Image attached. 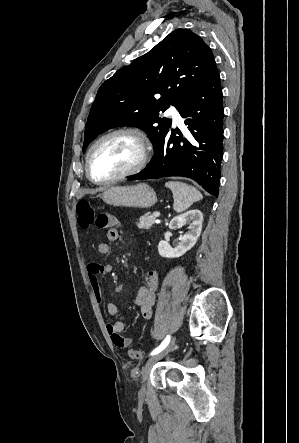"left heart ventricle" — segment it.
Listing matches in <instances>:
<instances>
[{"label":"left heart ventricle","instance_id":"b2bd125f","mask_svg":"<svg viewBox=\"0 0 299 443\" xmlns=\"http://www.w3.org/2000/svg\"><path fill=\"white\" fill-rule=\"evenodd\" d=\"M138 142L128 135H116L101 142L91 158L94 178L102 180L118 175L133 166L139 159Z\"/></svg>","mask_w":299,"mask_h":443}]
</instances>
